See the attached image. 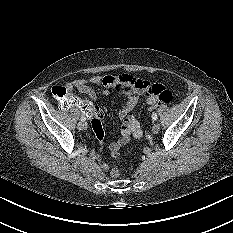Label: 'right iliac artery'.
<instances>
[{
    "mask_svg": "<svg viewBox=\"0 0 233 233\" xmlns=\"http://www.w3.org/2000/svg\"><path fill=\"white\" fill-rule=\"evenodd\" d=\"M86 118L84 116H81V121H85Z\"/></svg>",
    "mask_w": 233,
    "mask_h": 233,
    "instance_id": "1",
    "label": "right iliac artery"
}]
</instances>
